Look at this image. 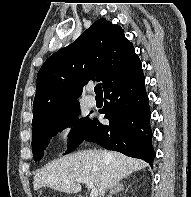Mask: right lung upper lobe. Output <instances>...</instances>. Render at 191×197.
Returning <instances> with one entry per match:
<instances>
[{"label": "right lung upper lobe", "instance_id": "obj_1", "mask_svg": "<svg viewBox=\"0 0 191 197\" xmlns=\"http://www.w3.org/2000/svg\"><path fill=\"white\" fill-rule=\"evenodd\" d=\"M141 65L124 30L104 18L97 20L69 46L51 55L37 75L32 126L78 106L89 80L103 89Z\"/></svg>", "mask_w": 191, "mask_h": 197}]
</instances>
